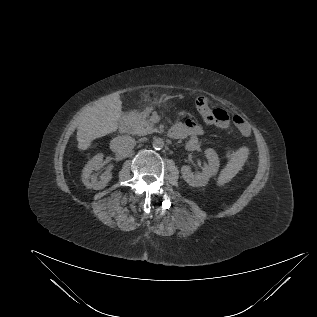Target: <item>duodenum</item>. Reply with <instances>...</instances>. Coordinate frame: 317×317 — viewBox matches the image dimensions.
<instances>
[{"mask_svg":"<svg viewBox=\"0 0 317 317\" xmlns=\"http://www.w3.org/2000/svg\"><path fill=\"white\" fill-rule=\"evenodd\" d=\"M129 124L130 121L128 115H124L119 122V131L125 133L129 128Z\"/></svg>","mask_w":317,"mask_h":317,"instance_id":"1","label":"duodenum"}]
</instances>
